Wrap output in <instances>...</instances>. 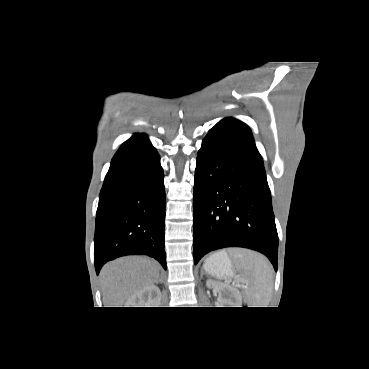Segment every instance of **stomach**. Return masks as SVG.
I'll use <instances>...</instances> for the list:
<instances>
[{"mask_svg":"<svg viewBox=\"0 0 369 369\" xmlns=\"http://www.w3.org/2000/svg\"><path fill=\"white\" fill-rule=\"evenodd\" d=\"M204 269L218 278H231L235 274L232 262L225 251H219L207 258Z\"/></svg>","mask_w":369,"mask_h":369,"instance_id":"obj_1","label":"stomach"}]
</instances>
